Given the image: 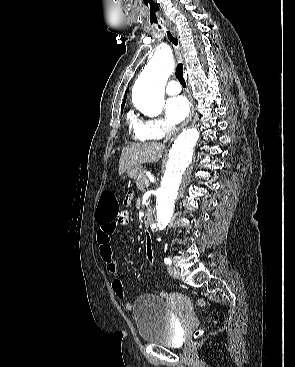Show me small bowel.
<instances>
[{
  "label": "small bowel",
  "mask_w": 295,
  "mask_h": 367,
  "mask_svg": "<svg viewBox=\"0 0 295 367\" xmlns=\"http://www.w3.org/2000/svg\"><path fill=\"white\" fill-rule=\"evenodd\" d=\"M130 199V202L133 198V194L131 192L127 193L126 197ZM128 209L122 208L121 212L118 213V221L113 219L110 221H100L97 218L98 229H97V243L99 247V252L101 259L103 260L106 270L109 273L116 274L118 271V264L113 256V250L111 245V236L116 230V227L120 224V226H127L128 224ZM113 293L118 299L125 298V286L124 282L121 279H114L111 284ZM125 308L127 310H132L133 305L130 302L125 303Z\"/></svg>",
  "instance_id": "1"
}]
</instances>
